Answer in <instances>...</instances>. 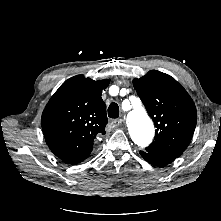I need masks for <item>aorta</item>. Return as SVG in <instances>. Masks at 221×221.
Wrapping results in <instances>:
<instances>
[{"instance_id": "obj_1", "label": "aorta", "mask_w": 221, "mask_h": 221, "mask_svg": "<svg viewBox=\"0 0 221 221\" xmlns=\"http://www.w3.org/2000/svg\"><path fill=\"white\" fill-rule=\"evenodd\" d=\"M129 134L135 144L140 147L148 146L154 136V126L146 112L135 107L127 117Z\"/></svg>"}]
</instances>
